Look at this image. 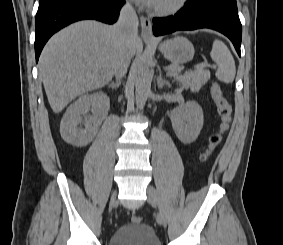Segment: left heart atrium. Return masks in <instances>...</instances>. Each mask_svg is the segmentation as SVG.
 Instances as JSON below:
<instances>
[{"instance_id": "1", "label": "left heart atrium", "mask_w": 283, "mask_h": 245, "mask_svg": "<svg viewBox=\"0 0 283 245\" xmlns=\"http://www.w3.org/2000/svg\"><path fill=\"white\" fill-rule=\"evenodd\" d=\"M134 1L145 5H154L157 0H134Z\"/></svg>"}]
</instances>
